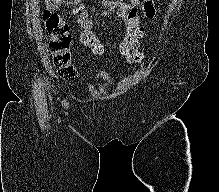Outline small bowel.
<instances>
[{"mask_svg":"<svg viewBox=\"0 0 219 192\" xmlns=\"http://www.w3.org/2000/svg\"><path fill=\"white\" fill-rule=\"evenodd\" d=\"M50 3L49 0H46ZM81 0H75L73 13L79 16L78 23L81 27L80 41L82 46L90 48L94 52H100L101 50L93 48L92 41L99 43L98 37L91 28V21L87 18L86 7L82 5ZM52 4L55 7L61 5V0H52ZM110 11H117L126 25L127 35L137 33L138 37L142 35L143 29L141 27V21L138 12L142 11L146 16L153 17L156 14L154 0H112L106 2ZM90 25L89 27L87 25ZM101 46V45H100ZM102 48V47H101Z\"/></svg>","mask_w":219,"mask_h":192,"instance_id":"1","label":"small bowel"}]
</instances>
